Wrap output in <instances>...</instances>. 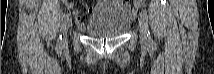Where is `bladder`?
Segmentation results:
<instances>
[{
    "label": "bladder",
    "instance_id": "1",
    "mask_svg": "<svg viewBox=\"0 0 214 74\" xmlns=\"http://www.w3.org/2000/svg\"><path fill=\"white\" fill-rule=\"evenodd\" d=\"M130 16L122 7L108 8L95 14L85 26V32L92 37H117L130 27Z\"/></svg>",
    "mask_w": 214,
    "mask_h": 74
}]
</instances>
